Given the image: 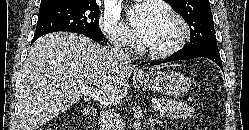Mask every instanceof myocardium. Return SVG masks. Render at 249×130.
<instances>
[{
  "label": "myocardium",
  "instance_id": "obj_1",
  "mask_svg": "<svg viewBox=\"0 0 249 130\" xmlns=\"http://www.w3.org/2000/svg\"><path fill=\"white\" fill-rule=\"evenodd\" d=\"M164 16L174 20L178 24L180 33L176 41L166 48L150 49L147 46H144L142 48L145 54L156 59L167 58L177 53L185 46V44L188 42L190 38V28L185 19L181 15H179L174 11H166L164 12Z\"/></svg>",
  "mask_w": 249,
  "mask_h": 130
}]
</instances>
